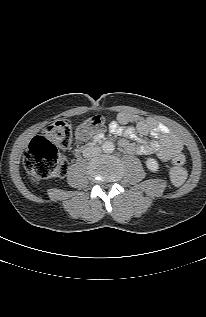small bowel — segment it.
Instances as JSON below:
<instances>
[{
    "label": "small bowel",
    "instance_id": "obj_1",
    "mask_svg": "<svg viewBox=\"0 0 206 317\" xmlns=\"http://www.w3.org/2000/svg\"><path fill=\"white\" fill-rule=\"evenodd\" d=\"M131 124H134L132 126ZM109 130L112 134L126 138H137L138 135H149L150 141H140L139 144L129 143L125 139L120 144L131 154L156 155L160 161H168L180 154L182 141L172 134L163 124L152 118H143L130 112L118 113L116 120L110 122Z\"/></svg>",
    "mask_w": 206,
    "mask_h": 317
}]
</instances>
